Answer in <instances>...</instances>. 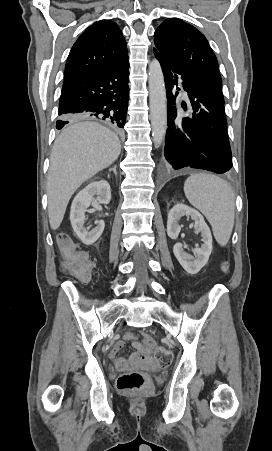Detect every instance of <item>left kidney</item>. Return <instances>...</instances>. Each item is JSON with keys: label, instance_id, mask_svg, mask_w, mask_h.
<instances>
[{"label": "left kidney", "instance_id": "1", "mask_svg": "<svg viewBox=\"0 0 272 451\" xmlns=\"http://www.w3.org/2000/svg\"><path fill=\"white\" fill-rule=\"evenodd\" d=\"M182 216H190L191 220H194L195 233H201L203 243L201 247H195V249H193V253H195L194 257V255L186 253L183 249V243H179L178 241L173 247L174 255L177 257L182 267H184L185 271H188V273H198L201 267L207 263L212 251L211 231L206 222H204L203 216H201L197 210H193V208H189V206H185V204H176V206L170 210L167 220V233L171 239H177L181 231L179 220Z\"/></svg>", "mask_w": 272, "mask_h": 451}]
</instances>
